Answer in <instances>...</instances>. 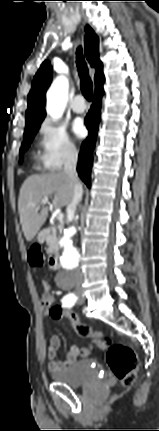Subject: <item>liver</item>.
<instances>
[{
	"label": "liver",
	"mask_w": 159,
	"mask_h": 431,
	"mask_svg": "<svg viewBox=\"0 0 159 431\" xmlns=\"http://www.w3.org/2000/svg\"><path fill=\"white\" fill-rule=\"evenodd\" d=\"M73 181L63 172H51L28 177L20 189L18 211L27 241H31L45 223L49 208L40 207L44 198L54 195L53 208L68 206L73 197Z\"/></svg>",
	"instance_id": "obj_1"
}]
</instances>
